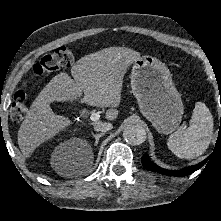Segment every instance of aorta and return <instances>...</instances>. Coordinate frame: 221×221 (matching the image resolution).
Segmentation results:
<instances>
[{
	"label": "aorta",
	"mask_w": 221,
	"mask_h": 221,
	"mask_svg": "<svg viewBox=\"0 0 221 221\" xmlns=\"http://www.w3.org/2000/svg\"><path fill=\"white\" fill-rule=\"evenodd\" d=\"M123 138L132 145H139L146 140V131L140 125H128L123 131Z\"/></svg>",
	"instance_id": "1"
}]
</instances>
